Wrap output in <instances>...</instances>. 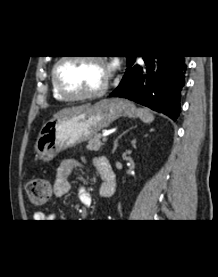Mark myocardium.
<instances>
[{"instance_id": "1", "label": "myocardium", "mask_w": 218, "mask_h": 277, "mask_svg": "<svg viewBox=\"0 0 218 277\" xmlns=\"http://www.w3.org/2000/svg\"><path fill=\"white\" fill-rule=\"evenodd\" d=\"M69 59L92 60V61H97V62L105 65L103 58L100 56H97V55H81L78 57H74V56L61 57L54 64V66L52 68V80H53L56 91L59 93V95L61 97H63L65 100H69V101L86 100V99L99 97L107 91L108 86H109V73H108L107 78H106L105 82L103 83V85L100 88H98L97 90L83 93V94H71V93L67 92L61 84L59 74H58V69H59L60 64L63 61L69 60Z\"/></svg>"}]
</instances>
